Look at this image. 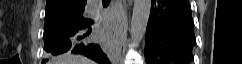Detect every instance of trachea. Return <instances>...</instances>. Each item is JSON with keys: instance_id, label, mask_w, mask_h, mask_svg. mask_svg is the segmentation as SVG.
<instances>
[{"instance_id": "3493384b", "label": "trachea", "mask_w": 242, "mask_h": 64, "mask_svg": "<svg viewBox=\"0 0 242 64\" xmlns=\"http://www.w3.org/2000/svg\"><path fill=\"white\" fill-rule=\"evenodd\" d=\"M103 3H109L110 0H102Z\"/></svg>"}]
</instances>
